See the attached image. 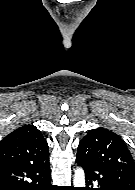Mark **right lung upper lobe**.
Instances as JSON below:
<instances>
[{"label":"right lung upper lobe","instance_id":"cb5924a9","mask_svg":"<svg viewBox=\"0 0 135 190\" xmlns=\"http://www.w3.org/2000/svg\"><path fill=\"white\" fill-rule=\"evenodd\" d=\"M48 159V144L33 125L19 127L0 143V167L22 163L37 164Z\"/></svg>","mask_w":135,"mask_h":190}]
</instances>
